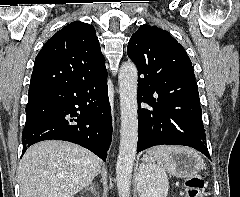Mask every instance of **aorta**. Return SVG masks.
Returning <instances> with one entry per match:
<instances>
[{
  "label": "aorta",
  "mask_w": 240,
  "mask_h": 197,
  "mask_svg": "<svg viewBox=\"0 0 240 197\" xmlns=\"http://www.w3.org/2000/svg\"><path fill=\"white\" fill-rule=\"evenodd\" d=\"M138 71L131 61L122 63L118 75L121 129L116 182L120 197H129L138 140Z\"/></svg>",
  "instance_id": "obj_1"
}]
</instances>
